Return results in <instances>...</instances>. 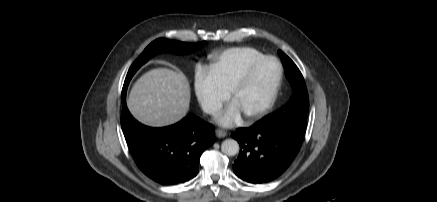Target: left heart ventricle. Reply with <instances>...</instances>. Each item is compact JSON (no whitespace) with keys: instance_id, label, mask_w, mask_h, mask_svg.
I'll list each match as a JSON object with an SVG mask.
<instances>
[{"instance_id":"1","label":"left heart ventricle","mask_w":437,"mask_h":202,"mask_svg":"<svg viewBox=\"0 0 437 202\" xmlns=\"http://www.w3.org/2000/svg\"><path fill=\"white\" fill-rule=\"evenodd\" d=\"M277 72L278 67L274 61H266L257 67L250 81L233 99L241 108L243 115L257 110L265 102Z\"/></svg>"}]
</instances>
